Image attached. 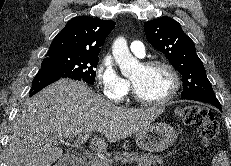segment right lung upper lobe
Listing matches in <instances>:
<instances>
[{"instance_id": "cb5924a9", "label": "right lung upper lobe", "mask_w": 231, "mask_h": 166, "mask_svg": "<svg viewBox=\"0 0 231 166\" xmlns=\"http://www.w3.org/2000/svg\"><path fill=\"white\" fill-rule=\"evenodd\" d=\"M115 28V22L88 16H78L66 24L53 39L48 53H76L98 56L105 38Z\"/></svg>"}]
</instances>
